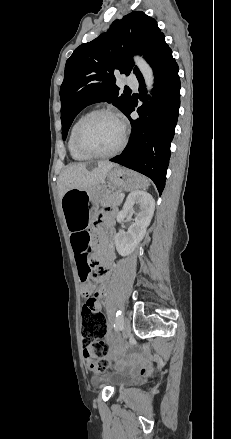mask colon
<instances>
[{"instance_id": "1", "label": "colon", "mask_w": 231, "mask_h": 439, "mask_svg": "<svg viewBox=\"0 0 231 439\" xmlns=\"http://www.w3.org/2000/svg\"><path fill=\"white\" fill-rule=\"evenodd\" d=\"M79 276L84 283V288L92 291L95 287V277L91 273V264L82 268ZM106 330L105 316L85 305L82 308V344L85 348H92L91 353H86L85 360L87 367L97 373L104 372L110 366V362L106 358L108 354L107 345L101 340L106 334Z\"/></svg>"}]
</instances>
